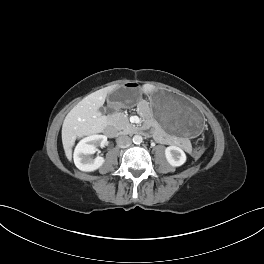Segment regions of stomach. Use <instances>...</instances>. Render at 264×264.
Returning <instances> with one entry per match:
<instances>
[{"label": "stomach", "instance_id": "1", "mask_svg": "<svg viewBox=\"0 0 264 264\" xmlns=\"http://www.w3.org/2000/svg\"><path fill=\"white\" fill-rule=\"evenodd\" d=\"M135 88L123 85L109 93L108 101L114 108H128L138 104L133 96ZM152 117L167 132L179 137H197L203 133L204 117L185 97L165 89H155L146 103Z\"/></svg>", "mask_w": 264, "mask_h": 264}]
</instances>
